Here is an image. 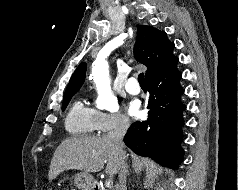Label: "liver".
I'll use <instances>...</instances> for the list:
<instances>
[{
  "label": "liver",
  "mask_w": 238,
  "mask_h": 190,
  "mask_svg": "<svg viewBox=\"0 0 238 190\" xmlns=\"http://www.w3.org/2000/svg\"><path fill=\"white\" fill-rule=\"evenodd\" d=\"M120 153L114 143L104 137H71L65 139L55 150L48 173L49 181L69 169L84 173L101 171L107 163L105 173L119 172Z\"/></svg>",
  "instance_id": "obj_1"
}]
</instances>
